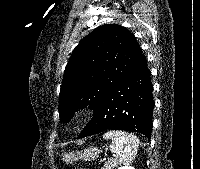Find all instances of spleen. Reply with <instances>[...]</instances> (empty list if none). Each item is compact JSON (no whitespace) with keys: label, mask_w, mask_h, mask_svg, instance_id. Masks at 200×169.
Here are the masks:
<instances>
[{"label":"spleen","mask_w":200,"mask_h":169,"mask_svg":"<svg viewBox=\"0 0 200 169\" xmlns=\"http://www.w3.org/2000/svg\"><path fill=\"white\" fill-rule=\"evenodd\" d=\"M105 139H111L110 151L116 153V159L123 164H130L137 154L139 139L131 133L112 130L103 135Z\"/></svg>","instance_id":"1"}]
</instances>
